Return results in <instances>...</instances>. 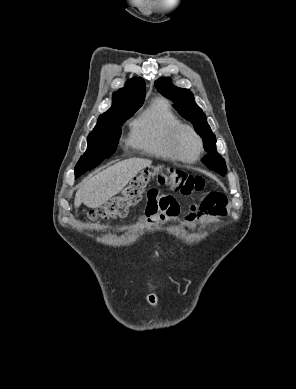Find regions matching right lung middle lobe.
Masks as SVG:
<instances>
[{"instance_id":"dd1d6c3e","label":"right lung middle lobe","mask_w":296,"mask_h":389,"mask_svg":"<svg viewBox=\"0 0 296 389\" xmlns=\"http://www.w3.org/2000/svg\"><path fill=\"white\" fill-rule=\"evenodd\" d=\"M130 108L113 115L99 118L97 125L88 135V147L81 156L75 168L86 164H100L115 152L121 135V126L126 119L130 118L138 109Z\"/></svg>"}]
</instances>
